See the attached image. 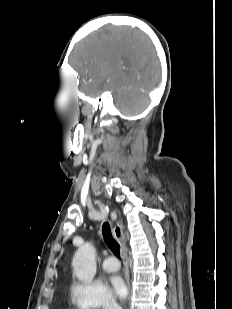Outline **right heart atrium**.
<instances>
[{"instance_id": "obj_1", "label": "right heart atrium", "mask_w": 232, "mask_h": 309, "mask_svg": "<svg viewBox=\"0 0 232 309\" xmlns=\"http://www.w3.org/2000/svg\"><path fill=\"white\" fill-rule=\"evenodd\" d=\"M70 296L79 309H119L108 289L89 282H74Z\"/></svg>"}]
</instances>
